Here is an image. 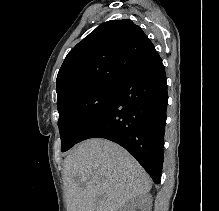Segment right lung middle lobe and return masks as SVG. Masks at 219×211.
<instances>
[{
    "instance_id": "1",
    "label": "right lung middle lobe",
    "mask_w": 219,
    "mask_h": 211,
    "mask_svg": "<svg viewBox=\"0 0 219 211\" xmlns=\"http://www.w3.org/2000/svg\"><path fill=\"white\" fill-rule=\"evenodd\" d=\"M116 86L99 85L57 103L62 151L74 144L112 99Z\"/></svg>"
}]
</instances>
